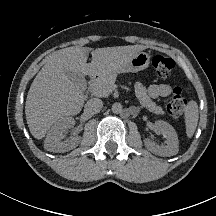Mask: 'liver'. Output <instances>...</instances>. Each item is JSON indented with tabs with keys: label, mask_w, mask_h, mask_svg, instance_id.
Returning a JSON list of instances; mask_svg holds the SVG:
<instances>
[{
	"label": "liver",
	"mask_w": 216,
	"mask_h": 216,
	"mask_svg": "<svg viewBox=\"0 0 216 216\" xmlns=\"http://www.w3.org/2000/svg\"><path fill=\"white\" fill-rule=\"evenodd\" d=\"M143 45L97 48L73 46L53 53L33 80L28 91L25 115L34 138L42 139L59 119L80 113L84 104L81 84L71 81L66 71L81 76L110 74L144 50ZM92 50V61L87 63Z\"/></svg>",
	"instance_id": "obj_1"
}]
</instances>
